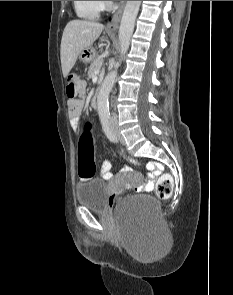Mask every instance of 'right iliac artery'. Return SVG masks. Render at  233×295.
<instances>
[{
  "instance_id": "obj_1",
  "label": "right iliac artery",
  "mask_w": 233,
  "mask_h": 295,
  "mask_svg": "<svg viewBox=\"0 0 233 295\" xmlns=\"http://www.w3.org/2000/svg\"><path fill=\"white\" fill-rule=\"evenodd\" d=\"M102 125H103L104 132L106 136L109 138V140L112 142H117V137L115 133L112 131V129L110 128L108 119H102Z\"/></svg>"
}]
</instances>
